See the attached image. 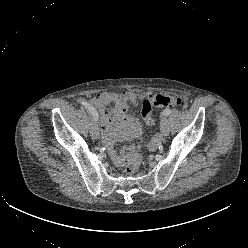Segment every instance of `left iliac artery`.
Wrapping results in <instances>:
<instances>
[{
    "mask_svg": "<svg viewBox=\"0 0 248 248\" xmlns=\"http://www.w3.org/2000/svg\"><path fill=\"white\" fill-rule=\"evenodd\" d=\"M172 110L170 108H167L163 111L164 116H169L171 114Z\"/></svg>",
    "mask_w": 248,
    "mask_h": 248,
    "instance_id": "left-iliac-artery-1",
    "label": "left iliac artery"
}]
</instances>
